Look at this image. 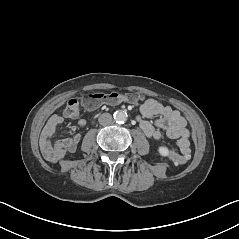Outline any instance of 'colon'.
Masks as SVG:
<instances>
[{
	"label": "colon",
	"instance_id": "colon-1",
	"mask_svg": "<svg viewBox=\"0 0 239 239\" xmlns=\"http://www.w3.org/2000/svg\"><path fill=\"white\" fill-rule=\"evenodd\" d=\"M141 99L142 97L137 93L121 94L117 92H96L88 95L82 101L77 99L70 100L65 107L64 114L68 118H75L80 114L81 106L97 107L103 103L118 104L124 101L135 103ZM169 157L175 164L186 163L189 159L187 155H181L176 152H170Z\"/></svg>",
	"mask_w": 239,
	"mask_h": 239
}]
</instances>
